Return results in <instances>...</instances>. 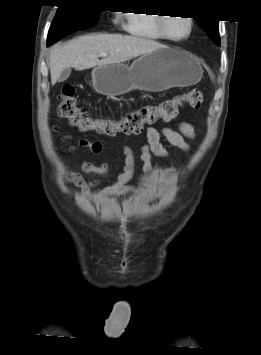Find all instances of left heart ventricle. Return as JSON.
Instances as JSON below:
<instances>
[{"instance_id": "b2bd125f", "label": "left heart ventricle", "mask_w": 261, "mask_h": 355, "mask_svg": "<svg viewBox=\"0 0 261 355\" xmlns=\"http://www.w3.org/2000/svg\"><path fill=\"white\" fill-rule=\"evenodd\" d=\"M167 31L174 38L184 37L189 32V23L182 17L170 18L167 22Z\"/></svg>"}]
</instances>
